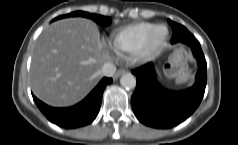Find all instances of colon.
Returning a JSON list of instances; mask_svg holds the SVG:
<instances>
[{"label":"colon","mask_w":238,"mask_h":145,"mask_svg":"<svg viewBox=\"0 0 238 145\" xmlns=\"http://www.w3.org/2000/svg\"><path fill=\"white\" fill-rule=\"evenodd\" d=\"M188 58V52L183 47H178L173 53L169 63L166 66L168 75L179 80H185L188 77V71L185 60Z\"/></svg>","instance_id":"obj_1"}]
</instances>
